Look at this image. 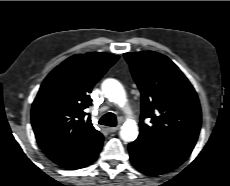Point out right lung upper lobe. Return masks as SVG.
I'll return each mask as SVG.
<instances>
[{"instance_id":"cb5924a9","label":"right lung upper lobe","mask_w":230,"mask_h":186,"mask_svg":"<svg viewBox=\"0 0 230 186\" xmlns=\"http://www.w3.org/2000/svg\"><path fill=\"white\" fill-rule=\"evenodd\" d=\"M119 56L91 52L62 62L43 81L33 102L31 122L43 152L65 168H75L103 142L86 118L89 93Z\"/></svg>"}]
</instances>
